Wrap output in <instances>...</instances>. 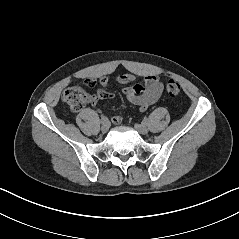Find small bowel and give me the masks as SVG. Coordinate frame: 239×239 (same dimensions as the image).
Listing matches in <instances>:
<instances>
[{
  "instance_id": "obj_1",
  "label": "small bowel",
  "mask_w": 239,
  "mask_h": 239,
  "mask_svg": "<svg viewBox=\"0 0 239 239\" xmlns=\"http://www.w3.org/2000/svg\"><path fill=\"white\" fill-rule=\"evenodd\" d=\"M116 80L121 84L131 83L136 80V75L131 73H124L117 76ZM91 81L96 84L95 78H87L85 80L86 85H89ZM99 83L103 88L109 86L110 81L107 77H101ZM164 89V82L154 74L145 76L143 83H136L134 85L125 87L123 94L126 99L136 106H138L140 112H145L148 107L154 104L161 96ZM97 98L99 99H113L114 93L105 89L98 90ZM113 122L119 124L122 122L121 116H114Z\"/></svg>"
}]
</instances>
